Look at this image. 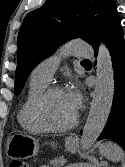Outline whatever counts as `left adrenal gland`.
<instances>
[{
    "label": "left adrenal gland",
    "mask_w": 125,
    "mask_h": 167,
    "mask_svg": "<svg viewBox=\"0 0 125 167\" xmlns=\"http://www.w3.org/2000/svg\"><path fill=\"white\" fill-rule=\"evenodd\" d=\"M102 166V164H98L97 166H94V167H101Z\"/></svg>",
    "instance_id": "1"
}]
</instances>
